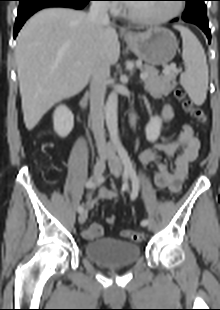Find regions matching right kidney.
<instances>
[{"mask_svg":"<svg viewBox=\"0 0 220 310\" xmlns=\"http://www.w3.org/2000/svg\"><path fill=\"white\" fill-rule=\"evenodd\" d=\"M54 131L62 138L68 136L74 126V116L65 105H59L53 114Z\"/></svg>","mask_w":220,"mask_h":310,"instance_id":"1","label":"right kidney"}]
</instances>
